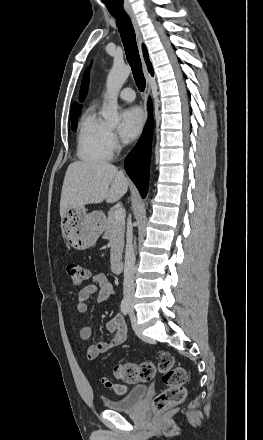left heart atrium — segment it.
Segmentation results:
<instances>
[{
	"label": "left heart atrium",
	"instance_id": "obj_1",
	"mask_svg": "<svg viewBox=\"0 0 263 440\" xmlns=\"http://www.w3.org/2000/svg\"><path fill=\"white\" fill-rule=\"evenodd\" d=\"M144 120V113L139 107L133 106L124 110L120 127L121 137L125 141L137 138L143 128Z\"/></svg>",
	"mask_w": 263,
	"mask_h": 440
}]
</instances>
